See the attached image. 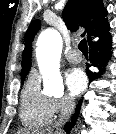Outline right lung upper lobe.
<instances>
[{"label":"right lung upper lobe","mask_w":116,"mask_h":134,"mask_svg":"<svg viewBox=\"0 0 116 134\" xmlns=\"http://www.w3.org/2000/svg\"><path fill=\"white\" fill-rule=\"evenodd\" d=\"M108 12L102 0H69L63 10V20L70 31L83 27L88 42L93 37H100L109 30ZM40 28L38 20L33 21L25 34V49L22 54L21 77H26L31 66L32 41Z\"/></svg>","instance_id":"right-lung-upper-lobe-1"}]
</instances>
